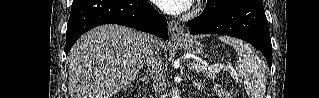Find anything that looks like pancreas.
<instances>
[{"instance_id": "obj_1", "label": "pancreas", "mask_w": 319, "mask_h": 98, "mask_svg": "<svg viewBox=\"0 0 319 98\" xmlns=\"http://www.w3.org/2000/svg\"><path fill=\"white\" fill-rule=\"evenodd\" d=\"M203 72V74H204V76L206 77V78H209V79H211V80H214L215 78H216V71H214V70H203L202 71Z\"/></svg>"}]
</instances>
